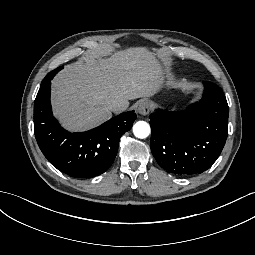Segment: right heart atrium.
I'll use <instances>...</instances> for the list:
<instances>
[{"instance_id": "obj_1", "label": "right heart atrium", "mask_w": 255, "mask_h": 255, "mask_svg": "<svg viewBox=\"0 0 255 255\" xmlns=\"http://www.w3.org/2000/svg\"><path fill=\"white\" fill-rule=\"evenodd\" d=\"M114 83L115 81L111 84V88L113 89V86H114ZM104 98H105V95L103 94L102 95V101L104 102ZM127 152H140V149L136 146H130L128 149H127Z\"/></svg>"}]
</instances>
